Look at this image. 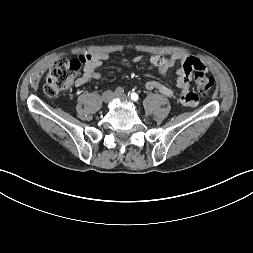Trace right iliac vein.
<instances>
[{"label":"right iliac vein","mask_w":253,"mask_h":253,"mask_svg":"<svg viewBox=\"0 0 253 253\" xmlns=\"http://www.w3.org/2000/svg\"><path fill=\"white\" fill-rule=\"evenodd\" d=\"M114 97V93L110 90L108 91H105L103 94H102V101L104 103H109Z\"/></svg>","instance_id":"right-iliac-vein-1"}]
</instances>
